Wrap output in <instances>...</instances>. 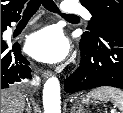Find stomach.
Masks as SVG:
<instances>
[{"instance_id":"obj_1","label":"stomach","mask_w":123,"mask_h":113,"mask_svg":"<svg viewBox=\"0 0 123 113\" xmlns=\"http://www.w3.org/2000/svg\"><path fill=\"white\" fill-rule=\"evenodd\" d=\"M81 101L83 104L88 105L89 104V99L85 97H81Z\"/></svg>"}]
</instances>
